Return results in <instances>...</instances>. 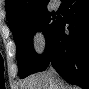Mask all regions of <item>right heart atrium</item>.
Masks as SVG:
<instances>
[{"label": "right heart atrium", "mask_w": 89, "mask_h": 89, "mask_svg": "<svg viewBox=\"0 0 89 89\" xmlns=\"http://www.w3.org/2000/svg\"><path fill=\"white\" fill-rule=\"evenodd\" d=\"M31 43H32L33 50L37 54H42L47 46V39L44 32L40 29L36 30L32 35Z\"/></svg>", "instance_id": "right-heart-atrium-1"}]
</instances>
